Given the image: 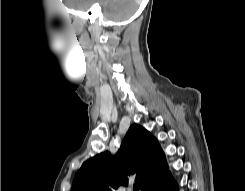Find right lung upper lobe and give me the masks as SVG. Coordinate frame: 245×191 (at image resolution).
Returning <instances> with one entry per match:
<instances>
[{"label":"right lung upper lobe","mask_w":245,"mask_h":191,"mask_svg":"<svg viewBox=\"0 0 245 191\" xmlns=\"http://www.w3.org/2000/svg\"><path fill=\"white\" fill-rule=\"evenodd\" d=\"M167 171L158 140L140 125L133 124L115 157L103 152L82 164L71 191H115L127 186L131 175L140 181L144 191Z\"/></svg>","instance_id":"cb5924a9"}]
</instances>
